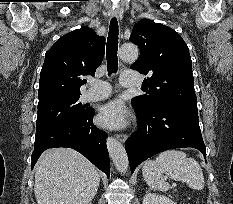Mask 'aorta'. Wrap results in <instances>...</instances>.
<instances>
[{"mask_svg": "<svg viewBox=\"0 0 233 204\" xmlns=\"http://www.w3.org/2000/svg\"><path fill=\"white\" fill-rule=\"evenodd\" d=\"M139 51L134 44H124L119 49V57L123 61L133 62L138 58ZM107 148L115 167L125 172L128 169V157L123 145L115 138L108 137Z\"/></svg>", "mask_w": 233, "mask_h": 204, "instance_id": "aorta-1", "label": "aorta"}]
</instances>
